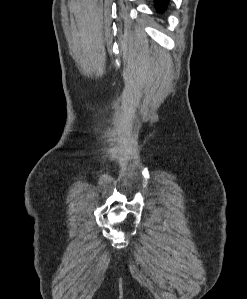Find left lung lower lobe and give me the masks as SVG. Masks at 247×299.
Wrapping results in <instances>:
<instances>
[{"mask_svg": "<svg viewBox=\"0 0 247 299\" xmlns=\"http://www.w3.org/2000/svg\"><path fill=\"white\" fill-rule=\"evenodd\" d=\"M168 2L169 0H155L157 10L161 12L166 7Z\"/></svg>", "mask_w": 247, "mask_h": 299, "instance_id": "1", "label": "left lung lower lobe"}]
</instances>
